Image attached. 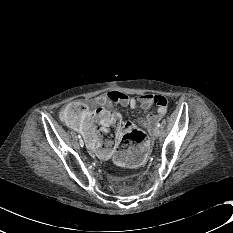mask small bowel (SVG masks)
<instances>
[{"label": "small bowel", "mask_w": 233, "mask_h": 233, "mask_svg": "<svg viewBox=\"0 0 233 233\" xmlns=\"http://www.w3.org/2000/svg\"><path fill=\"white\" fill-rule=\"evenodd\" d=\"M78 103H81L84 107L83 116L79 123L70 126L83 135L91 152L101 159H109L114 154L123 124L120 115L109 112L106 109L107 107L114 103L129 108L140 106L146 110L156 106L157 111L155 114L145 116V126L149 131H152L155 124L165 115L168 105L167 99L162 95L141 94L133 97L119 91H110L92 100L80 101ZM98 111L106 113L105 120L98 117ZM94 122L101 126V130L104 133L114 130V139L103 140ZM149 157V147L144 143H139L132 149L118 150L115 154V161L120 166H136L147 161Z\"/></svg>", "instance_id": "obj_1"}]
</instances>
